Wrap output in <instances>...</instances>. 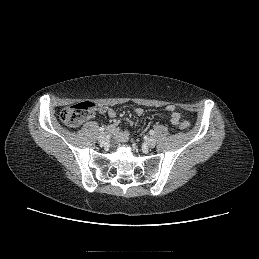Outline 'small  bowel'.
Masks as SVG:
<instances>
[{
	"label": "small bowel",
	"mask_w": 259,
	"mask_h": 259,
	"mask_svg": "<svg viewBox=\"0 0 259 259\" xmlns=\"http://www.w3.org/2000/svg\"><path fill=\"white\" fill-rule=\"evenodd\" d=\"M168 115H169V118H170V121L172 122V124L176 125L179 123V119H180V116L175 108L174 105H167L165 107ZM99 112L100 113H104V114H107L108 117L110 118H115L117 113L116 111L113 109V108H110V107H100L99 109ZM143 109L138 107L135 109V114L137 116H141L143 114ZM109 130L113 133V135L117 138V140L119 141H126L128 139V132L125 131V130H122L119 126H118V123L117 122H114L110 127H109Z\"/></svg>",
	"instance_id": "small-bowel-1"
}]
</instances>
